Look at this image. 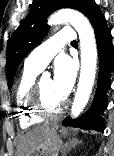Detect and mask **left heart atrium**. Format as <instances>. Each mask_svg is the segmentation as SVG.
Segmentation results:
<instances>
[{"mask_svg":"<svg viewBox=\"0 0 114 156\" xmlns=\"http://www.w3.org/2000/svg\"><path fill=\"white\" fill-rule=\"evenodd\" d=\"M77 74V66L68 56L59 57L54 65L53 87L55 93L63 100L72 91Z\"/></svg>","mask_w":114,"mask_h":156,"instance_id":"left-heart-atrium-1","label":"left heart atrium"}]
</instances>
